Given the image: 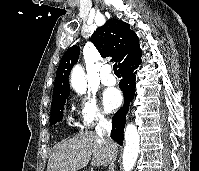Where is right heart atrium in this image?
Listing matches in <instances>:
<instances>
[{
  "mask_svg": "<svg viewBox=\"0 0 199 171\" xmlns=\"http://www.w3.org/2000/svg\"><path fill=\"white\" fill-rule=\"evenodd\" d=\"M78 118L80 127L88 129L96 124L107 121V116L91 95H81L78 98Z\"/></svg>",
  "mask_w": 199,
  "mask_h": 171,
  "instance_id": "d8ad5b80",
  "label": "right heart atrium"
}]
</instances>
